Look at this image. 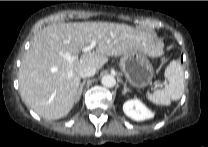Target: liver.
<instances>
[{"instance_id":"1","label":"liver","mask_w":208,"mask_h":147,"mask_svg":"<svg viewBox=\"0 0 208 147\" xmlns=\"http://www.w3.org/2000/svg\"><path fill=\"white\" fill-rule=\"evenodd\" d=\"M96 41L94 51L82 52ZM163 44L150 33L126 24L108 22L55 23L39 31L23 56L18 80L24 103L39 116L55 120L74 105L80 85L79 72L86 66L100 69L109 56L139 50L149 56L162 54ZM69 54L72 62L64 59Z\"/></svg>"}]
</instances>
